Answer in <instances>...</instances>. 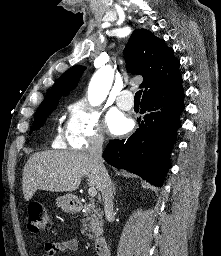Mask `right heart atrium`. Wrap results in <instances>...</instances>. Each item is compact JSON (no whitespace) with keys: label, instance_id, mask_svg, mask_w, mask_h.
I'll list each match as a JSON object with an SVG mask.
<instances>
[{"label":"right heart atrium","instance_id":"d8ad5b80","mask_svg":"<svg viewBox=\"0 0 221 256\" xmlns=\"http://www.w3.org/2000/svg\"><path fill=\"white\" fill-rule=\"evenodd\" d=\"M58 142L79 150L101 146L104 142V131L99 113L83 101L71 104Z\"/></svg>","mask_w":221,"mask_h":256}]
</instances>
